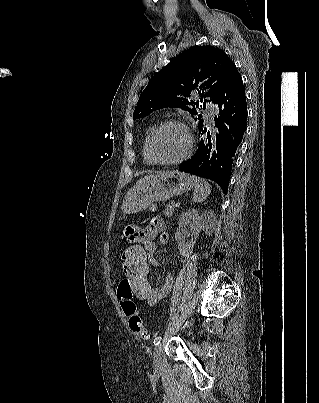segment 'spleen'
<instances>
[{
    "mask_svg": "<svg viewBox=\"0 0 319 403\" xmlns=\"http://www.w3.org/2000/svg\"><path fill=\"white\" fill-rule=\"evenodd\" d=\"M194 181V195H193V202H203L208 195L211 193V186L208 182L204 179L191 176Z\"/></svg>",
    "mask_w": 319,
    "mask_h": 403,
    "instance_id": "3e777b00",
    "label": "spleen"
}]
</instances>
